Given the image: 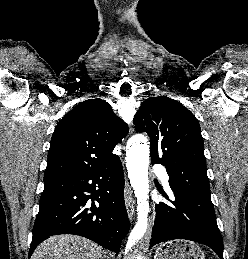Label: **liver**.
<instances>
[{"label": "liver", "instance_id": "liver-1", "mask_svg": "<svg viewBox=\"0 0 248 259\" xmlns=\"http://www.w3.org/2000/svg\"><path fill=\"white\" fill-rule=\"evenodd\" d=\"M96 243L76 235L51 236L37 246L31 259H105Z\"/></svg>", "mask_w": 248, "mask_h": 259}]
</instances>
